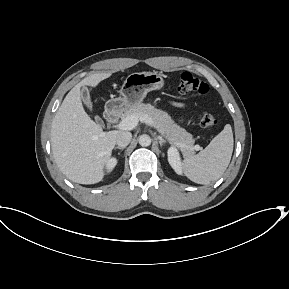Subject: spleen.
Listing matches in <instances>:
<instances>
[{
    "label": "spleen",
    "mask_w": 289,
    "mask_h": 289,
    "mask_svg": "<svg viewBox=\"0 0 289 289\" xmlns=\"http://www.w3.org/2000/svg\"><path fill=\"white\" fill-rule=\"evenodd\" d=\"M233 144L231 125L226 124L204 150L184 159L185 176L197 184L206 185L217 181L230 163Z\"/></svg>",
    "instance_id": "spleen-1"
}]
</instances>
